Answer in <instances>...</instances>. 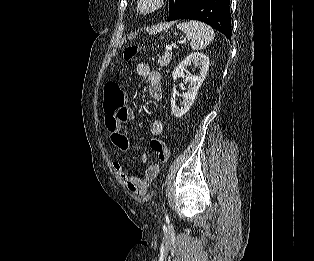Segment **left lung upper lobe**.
Segmentation results:
<instances>
[{
	"label": "left lung upper lobe",
	"mask_w": 314,
	"mask_h": 261,
	"mask_svg": "<svg viewBox=\"0 0 314 261\" xmlns=\"http://www.w3.org/2000/svg\"><path fill=\"white\" fill-rule=\"evenodd\" d=\"M184 0H170L169 4V18L175 15V13L178 11L180 8L181 4L183 3ZM168 18V19H169Z\"/></svg>",
	"instance_id": "1"
}]
</instances>
